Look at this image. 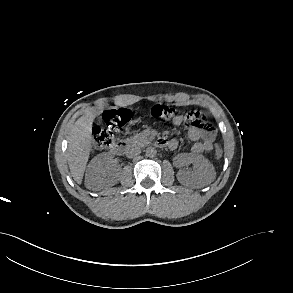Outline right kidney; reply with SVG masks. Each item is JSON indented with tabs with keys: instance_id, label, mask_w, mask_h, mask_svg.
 <instances>
[{
	"instance_id": "ca27d5eb",
	"label": "right kidney",
	"mask_w": 293,
	"mask_h": 293,
	"mask_svg": "<svg viewBox=\"0 0 293 293\" xmlns=\"http://www.w3.org/2000/svg\"><path fill=\"white\" fill-rule=\"evenodd\" d=\"M109 163L111 159L104 153L91 160L85 175V185L88 189L97 190L101 186H113L119 181V172L106 171L105 165Z\"/></svg>"
}]
</instances>
